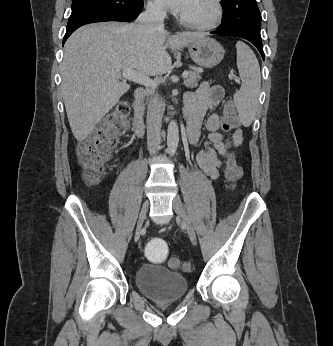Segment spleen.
Returning a JSON list of instances; mask_svg holds the SVG:
<instances>
[{"mask_svg":"<svg viewBox=\"0 0 333 346\" xmlns=\"http://www.w3.org/2000/svg\"><path fill=\"white\" fill-rule=\"evenodd\" d=\"M237 67L242 80L241 88L234 95V102L240 119L245 126H249L258 107L260 95L261 73L258 60L254 52L245 43L238 41Z\"/></svg>","mask_w":333,"mask_h":346,"instance_id":"1","label":"spleen"}]
</instances>
